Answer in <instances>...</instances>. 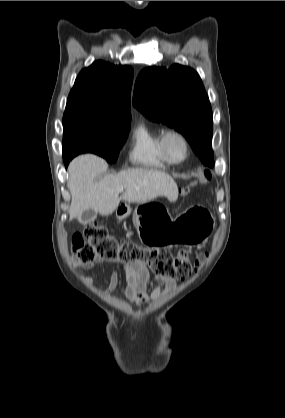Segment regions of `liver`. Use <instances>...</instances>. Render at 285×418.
Returning a JSON list of instances; mask_svg holds the SVG:
<instances>
[{"label": "liver", "instance_id": "liver-1", "mask_svg": "<svg viewBox=\"0 0 285 418\" xmlns=\"http://www.w3.org/2000/svg\"><path fill=\"white\" fill-rule=\"evenodd\" d=\"M107 168V162L93 154L80 155L71 161L67 182L72 197L70 220H80L82 213L88 209L101 215H110L121 200L146 203L158 196H165L171 202L178 198V187L174 179L165 172L153 169H128L118 174L106 175L94 182ZM118 188L124 189L120 197Z\"/></svg>", "mask_w": 285, "mask_h": 418}]
</instances>
